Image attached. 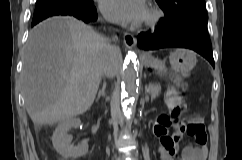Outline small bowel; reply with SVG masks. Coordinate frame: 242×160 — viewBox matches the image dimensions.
<instances>
[{
    "mask_svg": "<svg viewBox=\"0 0 242 160\" xmlns=\"http://www.w3.org/2000/svg\"><path fill=\"white\" fill-rule=\"evenodd\" d=\"M197 125H203L199 118H189L187 122L178 118L171 122L170 126L173 127V132L170 134L166 130L162 133H156L158 142V152L160 154L161 160H206L207 147L206 141H200L199 135L189 134L197 143L196 146H185L182 150L181 157H178V149L180 141L184 133L188 134V130Z\"/></svg>",
    "mask_w": 242,
    "mask_h": 160,
    "instance_id": "obj_1",
    "label": "small bowel"
}]
</instances>
